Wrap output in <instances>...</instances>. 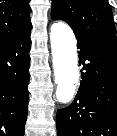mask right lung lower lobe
I'll use <instances>...</instances> for the list:
<instances>
[{"label": "right lung lower lobe", "instance_id": "1", "mask_svg": "<svg viewBox=\"0 0 117 136\" xmlns=\"http://www.w3.org/2000/svg\"><path fill=\"white\" fill-rule=\"evenodd\" d=\"M31 29L0 43V136H23L27 119Z\"/></svg>", "mask_w": 117, "mask_h": 136}]
</instances>
